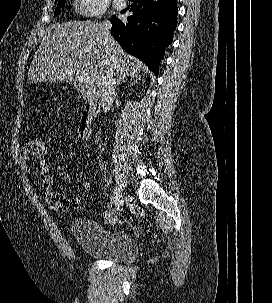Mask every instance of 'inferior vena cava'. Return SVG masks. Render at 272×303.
<instances>
[{
	"instance_id": "inferior-vena-cava-1",
	"label": "inferior vena cava",
	"mask_w": 272,
	"mask_h": 303,
	"mask_svg": "<svg viewBox=\"0 0 272 303\" xmlns=\"http://www.w3.org/2000/svg\"><path fill=\"white\" fill-rule=\"evenodd\" d=\"M102 26L104 28L106 34V40H111L110 30H111V23L108 20L103 21ZM106 72L102 76V89H101V106L104 112L110 110V107L113 104V99L115 95V72L112 69V65L110 60L106 62Z\"/></svg>"
}]
</instances>
